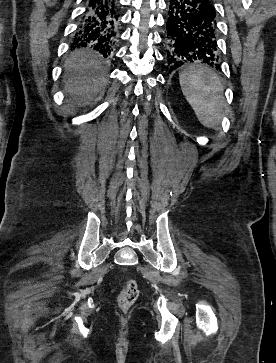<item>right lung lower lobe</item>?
<instances>
[{
  "label": "right lung lower lobe",
  "mask_w": 276,
  "mask_h": 363,
  "mask_svg": "<svg viewBox=\"0 0 276 363\" xmlns=\"http://www.w3.org/2000/svg\"><path fill=\"white\" fill-rule=\"evenodd\" d=\"M120 15L119 0H87L72 47H90L104 57L113 56Z\"/></svg>",
  "instance_id": "1"
}]
</instances>
